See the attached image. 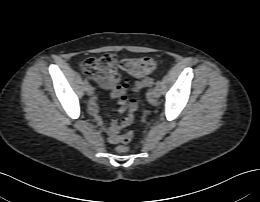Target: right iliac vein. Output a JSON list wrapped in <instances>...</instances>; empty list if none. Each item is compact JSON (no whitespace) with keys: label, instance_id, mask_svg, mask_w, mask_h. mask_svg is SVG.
Instances as JSON below:
<instances>
[{"label":"right iliac vein","instance_id":"right-iliac-vein-1","mask_svg":"<svg viewBox=\"0 0 260 202\" xmlns=\"http://www.w3.org/2000/svg\"><path fill=\"white\" fill-rule=\"evenodd\" d=\"M85 90H86L87 95L93 94V88L90 85H88Z\"/></svg>","mask_w":260,"mask_h":202}]
</instances>
